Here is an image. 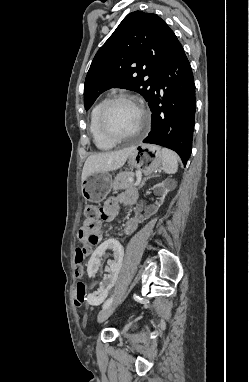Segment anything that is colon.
Masks as SVG:
<instances>
[{"instance_id": "1", "label": "colon", "mask_w": 249, "mask_h": 382, "mask_svg": "<svg viewBox=\"0 0 249 382\" xmlns=\"http://www.w3.org/2000/svg\"><path fill=\"white\" fill-rule=\"evenodd\" d=\"M83 214L88 221H95L100 216V208L95 204H85L83 206ZM86 254L87 250L85 247H79L76 251L77 264L74 266V269L76 270L74 273L75 279H80L82 277L83 267L81 266V262ZM77 298H82L83 301L86 298V285L83 282L77 283L75 300Z\"/></svg>"}]
</instances>
